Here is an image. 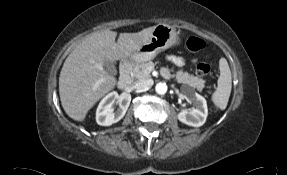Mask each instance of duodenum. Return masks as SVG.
<instances>
[{
  "mask_svg": "<svg viewBox=\"0 0 287 175\" xmlns=\"http://www.w3.org/2000/svg\"><path fill=\"white\" fill-rule=\"evenodd\" d=\"M131 70H132V62L129 60H124L120 64V79L118 83V87L121 90H125L131 85Z\"/></svg>",
  "mask_w": 287,
  "mask_h": 175,
  "instance_id": "410a0bca",
  "label": "duodenum"
}]
</instances>
